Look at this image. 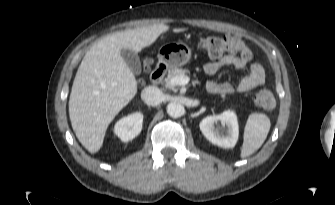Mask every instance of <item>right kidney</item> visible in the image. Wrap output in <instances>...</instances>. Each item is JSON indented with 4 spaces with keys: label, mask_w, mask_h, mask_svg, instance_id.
Masks as SVG:
<instances>
[{
    "label": "right kidney",
    "mask_w": 335,
    "mask_h": 205,
    "mask_svg": "<svg viewBox=\"0 0 335 205\" xmlns=\"http://www.w3.org/2000/svg\"><path fill=\"white\" fill-rule=\"evenodd\" d=\"M142 124L143 114L135 112L117 121L114 126V133L121 141L128 142L140 134Z\"/></svg>",
    "instance_id": "obj_1"
}]
</instances>
